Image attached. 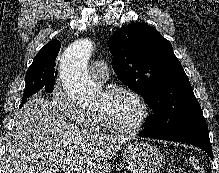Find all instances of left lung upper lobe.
<instances>
[{
    "instance_id": "obj_1",
    "label": "left lung upper lobe",
    "mask_w": 219,
    "mask_h": 173,
    "mask_svg": "<svg viewBox=\"0 0 219 173\" xmlns=\"http://www.w3.org/2000/svg\"><path fill=\"white\" fill-rule=\"evenodd\" d=\"M118 78L139 92L155 112L142 132L161 135L206 124L183 67L169 41L153 27L133 23L114 32L108 41Z\"/></svg>"
}]
</instances>
